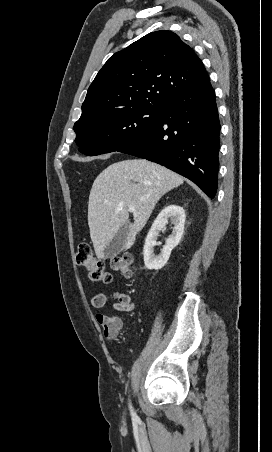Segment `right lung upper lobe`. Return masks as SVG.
Wrapping results in <instances>:
<instances>
[{"label":"right lung upper lobe","instance_id":"right-lung-upper-lobe-1","mask_svg":"<svg viewBox=\"0 0 272 452\" xmlns=\"http://www.w3.org/2000/svg\"><path fill=\"white\" fill-rule=\"evenodd\" d=\"M208 81L202 61L178 35L152 32L108 59L88 89L78 121L139 106L163 108Z\"/></svg>","mask_w":272,"mask_h":452}]
</instances>
